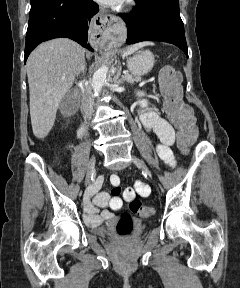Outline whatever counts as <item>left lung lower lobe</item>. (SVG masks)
Wrapping results in <instances>:
<instances>
[{
    "label": "left lung lower lobe",
    "mask_w": 240,
    "mask_h": 288,
    "mask_svg": "<svg viewBox=\"0 0 240 288\" xmlns=\"http://www.w3.org/2000/svg\"><path fill=\"white\" fill-rule=\"evenodd\" d=\"M137 6L129 14H119L128 29L127 44L161 41L178 46L188 57L184 25L178 0H135Z\"/></svg>",
    "instance_id": "1"
}]
</instances>
